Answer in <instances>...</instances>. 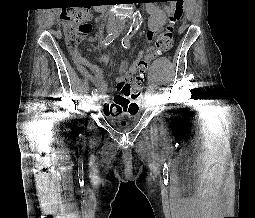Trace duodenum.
<instances>
[{
  "mask_svg": "<svg viewBox=\"0 0 255 218\" xmlns=\"http://www.w3.org/2000/svg\"><path fill=\"white\" fill-rule=\"evenodd\" d=\"M96 11H97V12H101V8H100V7H97V8H96ZM82 64H83V62H82Z\"/></svg>",
  "mask_w": 255,
  "mask_h": 218,
  "instance_id": "obj_1",
  "label": "duodenum"
}]
</instances>
